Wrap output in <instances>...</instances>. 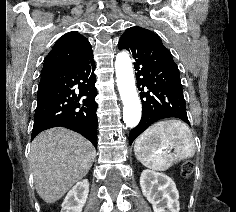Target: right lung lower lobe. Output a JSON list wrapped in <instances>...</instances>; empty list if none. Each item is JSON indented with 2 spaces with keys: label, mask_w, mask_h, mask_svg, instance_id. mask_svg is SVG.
Listing matches in <instances>:
<instances>
[{
  "label": "right lung lower lobe",
  "mask_w": 236,
  "mask_h": 212,
  "mask_svg": "<svg viewBox=\"0 0 236 212\" xmlns=\"http://www.w3.org/2000/svg\"><path fill=\"white\" fill-rule=\"evenodd\" d=\"M91 47L78 59L60 68L41 72L32 139L53 127L80 133L97 146V89ZM78 89L79 93L75 90ZM82 96L86 99L80 101Z\"/></svg>",
  "instance_id": "98d812e1"
}]
</instances>
